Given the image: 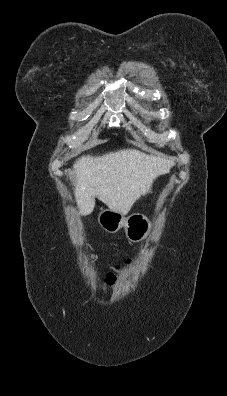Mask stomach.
<instances>
[{"instance_id":"obj_1","label":"stomach","mask_w":227,"mask_h":396,"mask_svg":"<svg viewBox=\"0 0 227 396\" xmlns=\"http://www.w3.org/2000/svg\"><path fill=\"white\" fill-rule=\"evenodd\" d=\"M99 225L109 233H116L122 227L131 242H140L146 239L151 232V221L143 214L136 213L128 217L111 209H104L98 214Z\"/></svg>"}]
</instances>
